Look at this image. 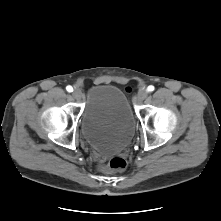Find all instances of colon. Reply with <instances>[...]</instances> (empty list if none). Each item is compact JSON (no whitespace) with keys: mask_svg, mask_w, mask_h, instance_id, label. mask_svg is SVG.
Instances as JSON below:
<instances>
[{"mask_svg":"<svg viewBox=\"0 0 221 221\" xmlns=\"http://www.w3.org/2000/svg\"><path fill=\"white\" fill-rule=\"evenodd\" d=\"M126 91H131V87H127ZM127 162L123 157L116 156L110 159L107 165L102 166L103 171H122L126 168Z\"/></svg>","mask_w":221,"mask_h":221,"instance_id":"1","label":"colon"}]
</instances>
